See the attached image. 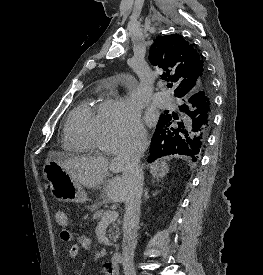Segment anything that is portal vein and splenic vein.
I'll return each instance as SVG.
<instances>
[{
  "instance_id": "portal-vein-and-splenic-vein-1",
  "label": "portal vein and splenic vein",
  "mask_w": 263,
  "mask_h": 275,
  "mask_svg": "<svg viewBox=\"0 0 263 275\" xmlns=\"http://www.w3.org/2000/svg\"><path fill=\"white\" fill-rule=\"evenodd\" d=\"M119 214L115 210L108 211L104 214L103 218L100 220V224H110L118 218Z\"/></svg>"
}]
</instances>
